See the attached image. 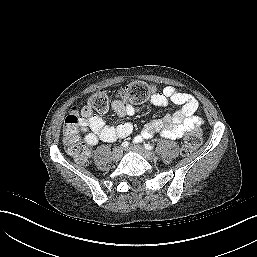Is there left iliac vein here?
<instances>
[{
	"label": "left iliac vein",
	"mask_w": 257,
	"mask_h": 257,
	"mask_svg": "<svg viewBox=\"0 0 257 257\" xmlns=\"http://www.w3.org/2000/svg\"><path fill=\"white\" fill-rule=\"evenodd\" d=\"M126 150L135 151V152L141 154V155H142L144 158H146L147 160H152V159H154V155H153L151 152L145 150L143 147L138 146V145H134V146H132V147H130V148H127Z\"/></svg>",
	"instance_id": "left-iliac-vein-1"
}]
</instances>
